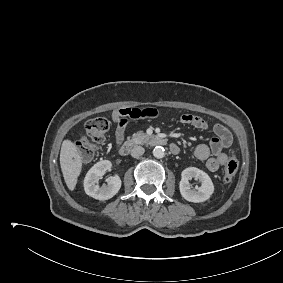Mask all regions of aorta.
<instances>
[{
    "instance_id": "1",
    "label": "aorta",
    "mask_w": 283,
    "mask_h": 283,
    "mask_svg": "<svg viewBox=\"0 0 283 283\" xmlns=\"http://www.w3.org/2000/svg\"><path fill=\"white\" fill-rule=\"evenodd\" d=\"M164 148L161 147V146H156L154 149H153V155L154 157L160 159V158H163L165 153H164Z\"/></svg>"
}]
</instances>
